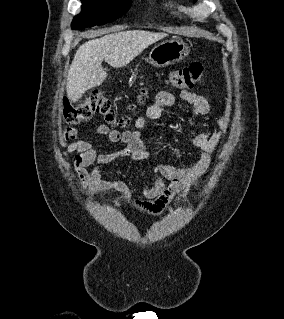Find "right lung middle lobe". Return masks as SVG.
Masks as SVG:
<instances>
[{
    "mask_svg": "<svg viewBox=\"0 0 284 319\" xmlns=\"http://www.w3.org/2000/svg\"><path fill=\"white\" fill-rule=\"evenodd\" d=\"M81 2L82 12L74 17L73 29L112 22L128 11L131 0H81Z\"/></svg>",
    "mask_w": 284,
    "mask_h": 319,
    "instance_id": "dd1d6c3e",
    "label": "right lung middle lobe"
}]
</instances>
